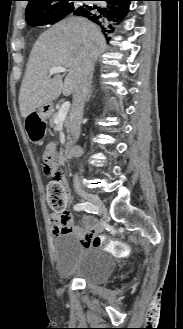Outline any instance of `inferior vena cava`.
<instances>
[{
  "label": "inferior vena cava",
  "instance_id": "inferior-vena-cava-1",
  "mask_svg": "<svg viewBox=\"0 0 183 329\" xmlns=\"http://www.w3.org/2000/svg\"><path fill=\"white\" fill-rule=\"evenodd\" d=\"M93 71V61L90 58L85 57L82 61L80 81L78 87L75 90L74 103L70 114V129L74 141L79 139L80 124L83 117L84 104L88 92L91 88ZM74 185H79L77 175L74 176Z\"/></svg>",
  "mask_w": 183,
  "mask_h": 329
}]
</instances>
